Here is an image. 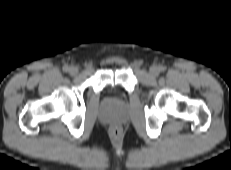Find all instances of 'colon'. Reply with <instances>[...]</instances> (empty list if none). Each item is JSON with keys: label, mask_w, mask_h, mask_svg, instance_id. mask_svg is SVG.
<instances>
[{"label": "colon", "mask_w": 231, "mask_h": 170, "mask_svg": "<svg viewBox=\"0 0 231 170\" xmlns=\"http://www.w3.org/2000/svg\"><path fill=\"white\" fill-rule=\"evenodd\" d=\"M113 132H114L115 134H117V133H118V130L115 128V129H113Z\"/></svg>", "instance_id": "colon-1"}]
</instances>
